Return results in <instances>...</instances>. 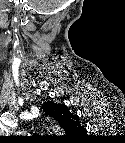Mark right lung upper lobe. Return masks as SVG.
<instances>
[{"label":"right lung upper lobe","instance_id":"right-lung-upper-lobe-1","mask_svg":"<svg viewBox=\"0 0 125 143\" xmlns=\"http://www.w3.org/2000/svg\"><path fill=\"white\" fill-rule=\"evenodd\" d=\"M43 110L59 122L67 136L82 135L86 132L79 123V117L71 114L66 105L46 102Z\"/></svg>","mask_w":125,"mask_h":143}]
</instances>
